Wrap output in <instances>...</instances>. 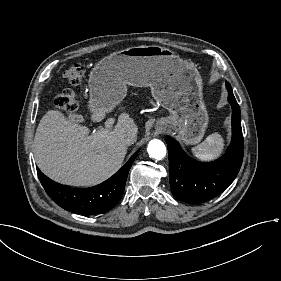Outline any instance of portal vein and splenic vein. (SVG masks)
<instances>
[{
    "label": "portal vein and splenic vein",
    "instance_id": "1",
    "mask_svg": "<svg viewBox=\"0 0 281 281\" xmlns=\"http://www.w3.org/2000/svg\"><path fill=\"white\" fill-rule=\"evenodd\" d=\"M113 126H114V120L113 119H108L105 122L104 128H100L99 129V134L100 135H105L106 133L111 132L112 129H113Z\"/></svg>",
    "mask_w": 281,
    "mask_h": 281
}]
</instances>
